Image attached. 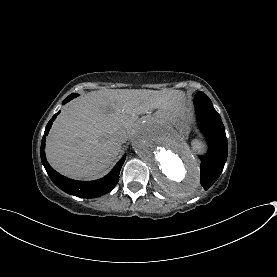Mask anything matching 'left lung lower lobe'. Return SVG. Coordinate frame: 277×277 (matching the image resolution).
Masks as SVG:
<instances>
[{
    "mask_svg": "<svg viewBox=\"0 0 277 277\" xmlns=\"http://www.w3.org/2000/svg\"><path fill=\"white\" fill-rule=\"evenodd\" d=\"M198 124L205 134L209 151L201 156V185L207 190L220 176L228 154V143L221 117L213 106L195 104Z\"/></svg>",
    "mask_w": 277,
    "mask_h": 277,
    "instance_id": "obj_1",
    "label": "left lung lower lobe"
}]
</instances>
